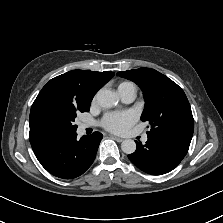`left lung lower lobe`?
Masks as SVG:
<instances>
[{
  "label": "left lung lower lobe",
  "mask_w": 223,
  "mask_h": 223,
  "mask_svg": "<svg viewBox=\"0 0 223 223\" xmlns=\"http://www.w3.org/2000/svg\"><path fill=\"white\" fill-rule=\"evenodd\" d=\"M128 158L142 171L162 175L173 170L185 157L189 145L157 135H148L145 145L137 143Z\"/></svg>",
  "instance_id": "1"
}]
</instances>
